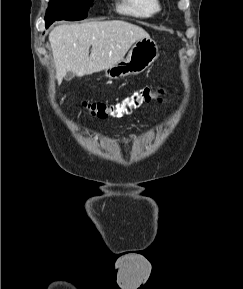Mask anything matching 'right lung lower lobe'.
<instances>
[{"label": "right lung lower lobe", "instance_id": "obj_1", "mask_svg": "<svg viewBox=\"0 0 243 289\" xmlns=\"http://www.w3.org/2000/svg\"><path fill=\"white\" fill-rule=\"evenodd\" d=\"M51 24L52 22H46V28H48Z\"/></svg>", "mask_w": 243, "mask_h": 289}]
</instances>
